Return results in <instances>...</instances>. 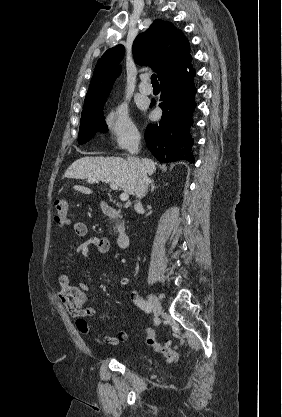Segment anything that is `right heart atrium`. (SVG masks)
Here are the masks:
<instances>
[{
	"instance_id": "d8ad5b80",
	"label": "right heart atrium",
	"mask_w": 282,
	"mask_h": 417,
	"mask_svg": "<svg viewBox=\"0 0 282 417\" xmlns=\"http://www.w3.org/2000/svg\"><path fill=\"white\" fill-rule=\"evenodd\" d=\"M107 126L114 134L118 144L123 148L132 147L137 140V130L128 117L127 111L123 106L111 112L107 119Z\"/></svg>"
}]
</instances>
